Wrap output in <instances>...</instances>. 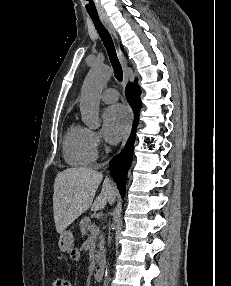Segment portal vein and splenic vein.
Instances as JSON below:
<instances>
[{"label":"portal vein and splenic vein","mask_w":231,"mask_h":286,"mask_svg":"<svg viewBox=\"0 0 231 286\" xmlns=\"http://www.w3.org/2000/svg\"><path fill=\"white\" fill-rule=\"evenodd\" d=\"M95 231H96V226L93 225V226L91 227V233H92V235L95 233Z\"/></svg>","instance_id":"obj_1"}]
</instances>
